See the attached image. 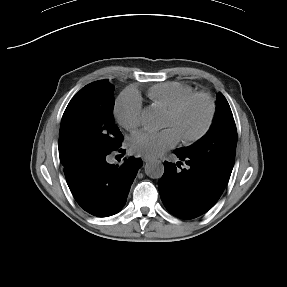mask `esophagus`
<instances>
[{"label": "esophagus", "mask_w": 287, "mask_h": 287, "mask_svg": "<svg viewBox=\"0 0 287 287\" xmlns=\"http://www.w3.org/2000/svg\"><path fill=\"white\" fill-rule=\"evenodd\" d=\"M152 159L150 158V157H143V161L144 162H149V161H151Z\"/></svg>", "instance_id": "34e87169"}]
</instances>
